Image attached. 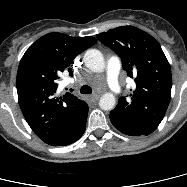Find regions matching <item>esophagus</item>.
Instances as JSON below:
<instances>
[{
    "mask_svg": "<svg viewBox=\"0 0 187 187\" xmlns=\"http://www.w3.org/2000/svg\"><path fill=\"white\" fill-rule=\"evenodd\" d=\"M99 98H100V95H98V94H93V95L89 96V100L92 102L97 101Z\"/></svg>",
    "mask_w": 187,
    "mask_h": 187,
    "instance_id": "obj_1",
    "label": "esophagus"
}]
</instances>
